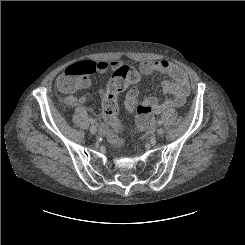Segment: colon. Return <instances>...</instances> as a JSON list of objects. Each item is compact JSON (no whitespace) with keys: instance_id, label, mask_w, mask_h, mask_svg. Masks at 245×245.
Returning a JSON list of instances; mask_svg holds the SVG:
<instances>
[{"instance_id":"colon-1","label":"colon","mask_w":245,"mask_h":245,"mask_svg":"<svg viewBox=\"0 0 245 245\" xmlns=\"http://www.w3.org/2000/svg\"><path fill=\"white\" fill-rule=\"evenodd\" d=\"M95 62L78 61L66 68L67 76L62 79L59 86L65 92H72L85 87V77L96 71ZM140 80L139 73L134 69L124 67L117 72L109 83V89L103 100L102 112L104 120L110 126L109 140L116 146L122 145L118 133L121 128L118 120L119 107L116 96L127 86L138 83ZM154 122V114L149 104L143 103L137 107L136 127L138 131H143L152 126Z\"/></svg>"}]
</instances>
